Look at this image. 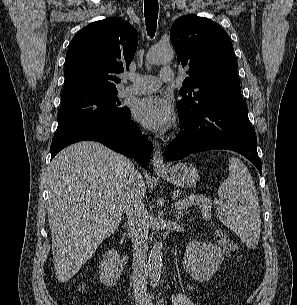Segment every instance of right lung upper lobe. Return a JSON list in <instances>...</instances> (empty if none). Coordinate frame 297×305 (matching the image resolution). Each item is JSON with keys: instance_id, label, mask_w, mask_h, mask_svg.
I'll return each mask as SVG.
<instances>
[{"instance_id": "obj_1", "label": "right lung upper lobe", "mask_w": 297, "mask_h": 305, "mask_svg": "<svg viewBox=\"0 0 297 305\" xmlns=\"http://www.w3.org/2000/svg\"><path fill=\"white\" fill-rule=\"evenodd\" d=\"M137 44L136 30L122 19L108 18L81 29L66 54L61 100L117 91L120 79L116 75L129 68Z\"/></svg>"}]
</instances>
